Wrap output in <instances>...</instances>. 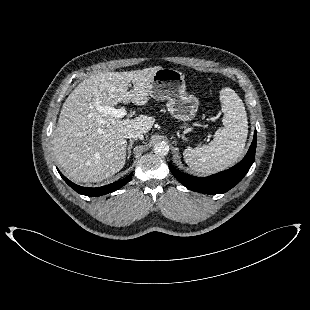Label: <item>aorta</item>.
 <instances>
[{
  "label": "aorta",
  "instance_id": "obj_1",
  "mask_svg": "<svg viewBox=\"0 0 310 310\" xmlns=\"http://www.w3.org/2000/svg\"><path fill=\"white\" fill-rule=\"evenodd\" d=\"M153 150L159 156H166L169 153V145L166 142H158L154 145Z\"/></svg>",
  "mask_w": 310,
  "mask_h": 310
}]
</instances>
